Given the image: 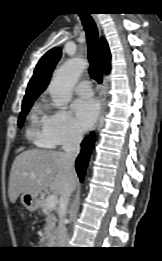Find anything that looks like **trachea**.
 <instances>
[{
	"instance_id": "1",
	"label": "trachea",
	"mask_w": 162,
	"mask_h": 261,
	"mask_svg": "<svg viewBox=\"0 0 162 261\" xmlns=\"http://www.w3.org/2000/svg\"><path fill=\"white\" fill-rule=\"evenodd\" d=\"M87 36L88 59L90 63V75L98 83L102 82V63L100 58V45L98 30L93 18L88 13L79 14Z\"/></svg>"
}]
</instances>
